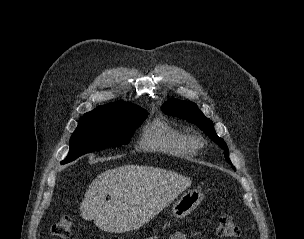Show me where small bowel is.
Listing matches in <instances>:
<instances>
[{"label":"small bowel","mask_w":304,"mask_h":239,"mask_svg":"<svg viewBox=\"0 0 304 239\" xmlns=\"http://www.w3.org/2000/svg\"><path fill=\"white\" fill-rule=\"evenodd\" d=\"M193 236H196V237H200V238H205V239H208L207 237H205L201 232H198V231H194L192 233ZM169 239H188V236L183 233V232H175L173 233Z\"/></svg>","instance_id":"1"}]
</instances>
